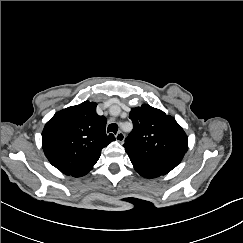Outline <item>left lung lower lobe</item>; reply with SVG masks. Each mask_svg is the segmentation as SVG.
Wrapping results in <instances>:
<instances>
[{
    "label": "left lung lower lobe",
    "mask_w": 243,
    "mask_h": 243,
    "mask_svg": "<svg viewBox=\"0 0 243 243\" xmlns=\"http://www.w3.org/2000/svg\"><path fill=\"white\" fill-rule=\"evenodd\" d=\"M135 170L145 178H156L161 175H165L173 168L165 165L151 164L140 161L135 158H130Z\"/></svg>",
    "instance_id": "0a47b994"
}]
</instances>
